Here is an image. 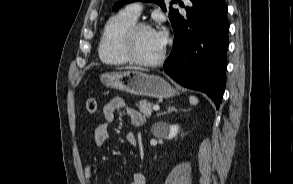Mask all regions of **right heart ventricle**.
<instances>
[{
    "mask_svg": "<svg viewBox=\"0 0 293 184\" xmlns=\"http://www.w3.org/2000/svg\"><path fill=\"white\" fill-rule=\"evenodd\" d=\"M136 20L125 11L119 12L108 20L98 45L99 58L103 63L118 66L130 62L123 52L122 41L125 32Z\"/></svg>",
    "mask_w": 293,
    "mask_h": 184,
    "instance_id": "right-heart-ventricle-1",
    "label": "right heart ventricle"
}]
</instances>
